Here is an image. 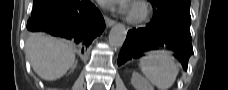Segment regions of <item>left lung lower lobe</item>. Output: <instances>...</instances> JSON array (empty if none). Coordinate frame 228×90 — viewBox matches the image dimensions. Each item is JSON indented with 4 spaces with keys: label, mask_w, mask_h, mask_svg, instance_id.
I'll return each instance as SVG.
<instances>
[{
    "label": "left lung lower lobe",
    "mask_w": 228,
    "mask_h": 90,
    "mask_svg": "<svg viewBox=\"0 0 228 90\" xmlns=\"http://www.w3.org/2000/svg\"><path fill=\"white\" fill-rule=\"evenodd\" d=\"M153 19L145 27L130 30L118 57V65L138 58L153 46L168 45L176 52L175 57L187 70L188 60L193 54L191 45L189 12L169 13L153 8Z\"/></svg>",
    "instance_id": "obj_1"
}]
</instances>
